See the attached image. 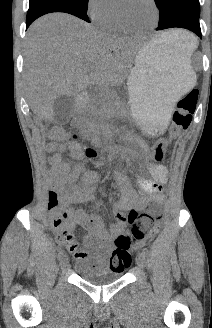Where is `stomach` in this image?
Listing matches in <instances>:
<instances>
[{
	"label": "stomach",
	"instance_id": "0dacf381",
	"mask_svg": "<svg viewBox=\"0 0 212 328\" xmlns=\"http://www.w3.org/2000/svg\"><path fill=\"white\" fill-rule=\"evenodd\" d=\"M128 77L133 117L151 135L168 125L175 102L196 83L190 57L176 45L152 39L136 54Z\"/></svg>",
	"mask_w": 212,
	"mask_h": 328
}]
</instances>
